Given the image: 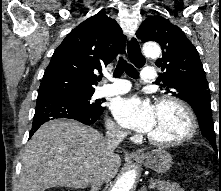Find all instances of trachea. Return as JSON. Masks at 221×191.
Segmentation results:
<instances>
[{"mask_svg": "<svg viewBox=\"0 0 221 191\" xmlns=\"http://www.w3.org/2000/svg\"><path fill=\"white\" fill-rule=\"evenodd\" d=\"M124 72L131 78L138 79V77H139L136 69L131 64H128L122 57H120L118 64L114 70L113 76L115 78H118Z\"/></svg>", "mask_w": 221, "mask_h": 191, "instance_id": "3493384b", "label": "trachea"}]
</instances>
